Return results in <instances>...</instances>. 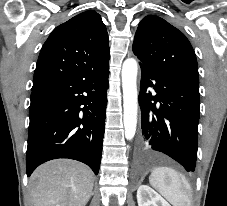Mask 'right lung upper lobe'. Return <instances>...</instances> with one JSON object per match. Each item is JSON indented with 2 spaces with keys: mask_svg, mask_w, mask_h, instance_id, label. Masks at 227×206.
<instances>
[{
  "mask_svg": "<svg viewBox=\"0 0 227 206\" xmlns=\"http://www.w3.org/2000/svg\"><path fill=\"white\" fill-rule=\"evenodd\" d=\"M105 24L95 11H85L56 27L44 43L33 84L50 81L109 62Z\"/></svg>",
  "mask_w": 227,
  "mask_h": 206,
  "instance_id": "obj_1",
  "label": "right lung upper lobe"
}]
</instances>
